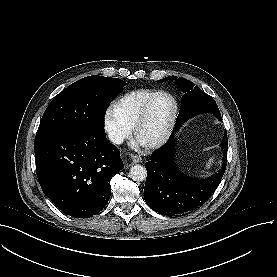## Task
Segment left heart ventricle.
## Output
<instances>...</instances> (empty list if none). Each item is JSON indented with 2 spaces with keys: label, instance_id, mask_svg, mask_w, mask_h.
<instances>
[{
  "label": "left heart ventricle",
  "instance_id": "obj_1",
  "mask_svg": "<svg viewBox=\"0 0 277 277\" xmlns=\"http://www.w3.org/2000/svg\"><path fill=\"white\" fill-rule=\"evenodd\" d=\"M172 113V101L163 95L156 96L140 126V139L144 142H152L161 138L168 128Z\"/></svg>",
  "mask_w": 277,
  "mask_h": 277
}]
</instances>
